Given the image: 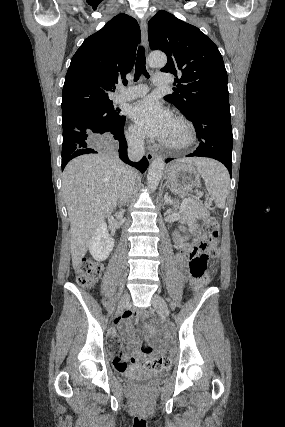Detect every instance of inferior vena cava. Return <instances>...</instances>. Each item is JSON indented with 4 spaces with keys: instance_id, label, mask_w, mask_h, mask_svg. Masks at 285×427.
<instances>
[{
    "instance_id": "obj_1",
    "label": "inferior vena cava",
    "mask_w": 285,
    "mask_h": 427,
    "mask_svg": "<svg viewBox=\"0 0 285 427\" xmlns=\"http://www.w3.org/2000/svg\"><path fill=\"white\" fill-rule=\"evenodd\" d=\"M144 156V137L141 134H134L128 138V157L132 161H139ZM137 172L133 168H127L123 175L120 190V203L126 204L132 195Z\"/></svg>"
}]
</instances>
